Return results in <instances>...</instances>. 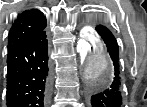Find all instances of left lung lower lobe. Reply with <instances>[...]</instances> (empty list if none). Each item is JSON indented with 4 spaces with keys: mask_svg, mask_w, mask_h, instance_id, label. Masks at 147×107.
I'll list each match as a JSON object with an SVG mask.
<instances>
[{
    "mask_svg": "<svg viewBox=\"0 0 147 107\" xmlns=\"http://www.w3.org/2000/svg\"><path fill=\"white\" fill-rule=\"evenodd\" d=\"M96 30L107 47V51L114 66V73L106 84L94 83L88 85V105L89 107H122L118 44L113 34L106 26L98 25Z\"/></svg>",
    "mask_w": 147,
    "mask_h": 107,
    "instance_id": "0a47b994",
    "label": "left lung lower lobe"
}]
</instances>
